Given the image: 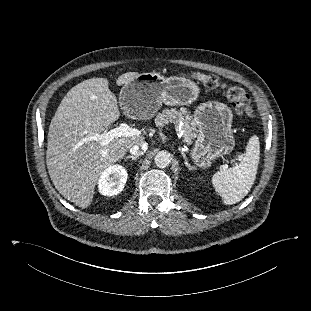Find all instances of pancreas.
<instances>
[{"label": "pancreas", "mask_w": 311, "mask_h": 311, "mask_svg": "<svg viewBox=\"0 0 311 311\" xmlns=\"http://www.w3.org/2000/svg\"><path fill=\"white\" fill-rule=\"evenodd\" d=\"M169 123H174L176 128L182 131L183 141L191 144L198 135L196 124L187 111H177L175 108L165 109L158 113L155 118V124L164 127Z\"/></svg>", "instance_id": "obj_1"}]
</instances>
